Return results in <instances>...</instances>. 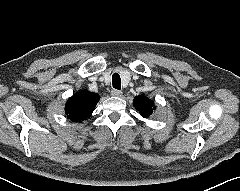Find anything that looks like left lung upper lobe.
I'll return each instance as SVG.
<instances>
[{
	"instance_id": "left-lung-upper-lobe-1",
	"label": "left lung upper lobe",
	"mask_w": 240,
	"mask_h": 191,
	"mask_svg": "<svg viewBox=\"0 0 240 191\" xmlns=\"http://www.w3.org/2000/svg\"><path fill=\"white\" fill-rule=\"evenodd\" d=\"M133 106L139 111L140 115L147 118L153 114L154 102L144 95H138L133 100Z\"/></svg>"
}]
</instances>
